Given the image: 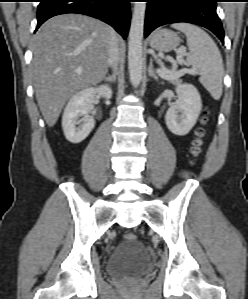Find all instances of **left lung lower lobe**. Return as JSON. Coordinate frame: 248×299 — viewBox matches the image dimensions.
Segmentation results:
<instances>
[{"label": "left lung lower lobe", "mask_w": 248, "mask_h": 299, "mask_svg": "<svg viewBox=\"0 0 248 299\" xmlns=\"http://www.w3.org/2000/svg\"><path fill=\"white\" fill-rule=\"evenodd\" d=\"M145 37L159 26L186 22L212 31L224 44V31L216 13L218 0H146Z\"/></svg>", "instance_id": "0a47b994"}]
</instances>
